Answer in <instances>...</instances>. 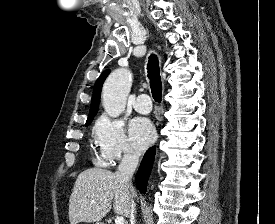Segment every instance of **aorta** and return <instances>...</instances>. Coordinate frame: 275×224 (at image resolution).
I'll return each instance as SVG.
<instances>
[{
  "label": "aorta",
  "mask_w": 275,
  "mask_h": 224,
  "mask_svg": "<svg viewBox=\"0 0 275 224\" xmlns=\"http://www.w3.org/2000/svg\"><path fill=\"white\" fill-rule=\"evenodd\" d=\"M131 88V72L125 68L113 71L102 90L103 107L110 117H119L125 110Z\"/></svg>",
  "instance_id": "obj_1"
}]
</instances>
